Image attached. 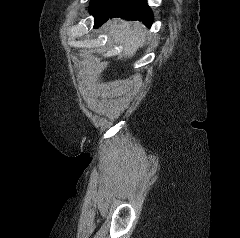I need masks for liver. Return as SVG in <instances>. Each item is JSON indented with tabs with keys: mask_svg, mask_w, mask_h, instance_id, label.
Segmentation results:
<instances>
[{
	"mask_svg": "<svg viewBox=\"0 0 240 238\" xmlns=\"http://www.w3.org/2000/svg\"><path fill=\"white\" fill-rule=\"evenodd\" d=\"M109 35L116 45H120L126 56H132L145 42L143 25L136 23L132 28L130 23L119 20L107 23Z\"/></svg>",
	"mask_w": 240,
	"mask_h": 238,
	"instance_id": "obj_1",
	"label": "liver"
}]
</instances>
